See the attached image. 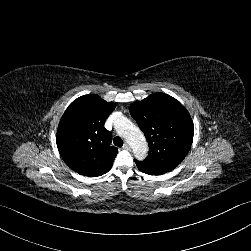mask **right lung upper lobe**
Segmentation results:
<instances>
[{
    "mask_svg": "<svg viewBox=\"0 0 251 251\" xmlns=\"http://www.w3.org/2000/svg\"><path fill=\"white\" fill-rule=\"evenodd\" d=\"M115 109L98 95L74 100L61 117L56 142L64 162L75 172L97 177L108 172L118 153L105 129L107 117Z\"/></svg>",
    "mask_w": 251,
    "mask_h": 251,
    "instance_id": "obj_1",
    "label": "right lung upper lobe"
}]
</instances>
